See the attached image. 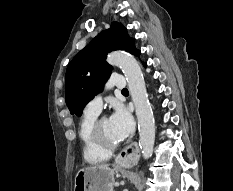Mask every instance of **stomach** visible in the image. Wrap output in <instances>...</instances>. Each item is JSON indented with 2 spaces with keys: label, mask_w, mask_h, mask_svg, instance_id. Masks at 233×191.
<instances>
[{
  "label": "stomach",
  "mask_w": 233,
  "mask_h": 191,
  "mask_svg": "<svg viewBox=\"0 0 233 191\" xmlns=\"http://www.w3.org/2000/svg\"><path fill=\"white\" fill-rule=\"evenodd\" d=\"M120 166L124 164L120 163ZM115 170L111 168L85 167L75 176L74 191H112Z\"/></svg>",
  "instance_id": "stomach-1"
}]
</instances>
